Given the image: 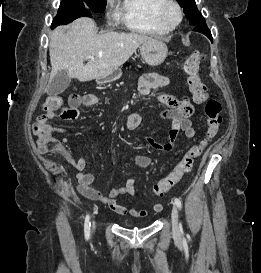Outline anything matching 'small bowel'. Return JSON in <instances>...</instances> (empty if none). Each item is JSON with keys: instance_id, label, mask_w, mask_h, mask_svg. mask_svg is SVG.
Returning <instances> with one entry per match:
<instances>
[{"instance_id": "small-bowel-1", "label": "small bowel", "mask_w": 261, "mask_h": 273, "mask_svg": "<svg viewBox=\"0 0 261 273\" xmlns=\"http://www.w3.org/2000/svg\"><path fill=\"white\" fill-rule=\"evenodd\" d=\"M170 84V80L167 77L160 76L154 73L145 74L141 77L139 82V91L142 95H149L154 89L158 87L167 86ZM159 101L163 105V109L159 113V118L163 120H170L171 127L168 133V141L165 143L159 142L153 135L148 134L146 136L147 144L150 148L158 152H169L174 146L179 133H182L185 139L191 140L195 137V129L192 126L190 117L194 113L193 104L187 99H177L170 94L159 95ZM97 103V98L92 94H87L83 97L82 104L84 106H94ZM61 118V112L51 111L47 116V120H54ZM134 117L129 115L126 120V126L128 129L136 128L133 126ZM139 126V125H138ZM47 128L51 132L66 133L67 131L62 128H57L47 123ZM63 158L71 164L78 173L76 178L78 180V191L88 199L105 203L111 210L118 214H125L127 208L122 206L117 198L123 194L134 195L135 194V180L129 178L126 180L124 186L120 188H112L108 191L107 195H103L97 189L92 187V183L95 180V176L85 171L86 160L83 157L75 158L71 151L66 146H61L60 150ZM133 162L137 167L148 168L152 164V159L147 156L138 155L133 158ZM162 206L160 204L154 205V211L160 212ZM133 216H145L147 212L142 209L132 208L129 210Z\"/></svg>"}]
</instances>
